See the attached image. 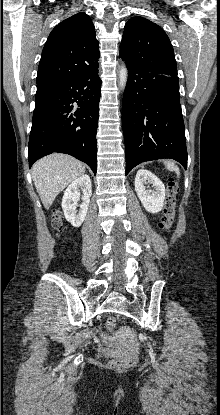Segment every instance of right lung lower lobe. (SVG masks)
I'll use <instances>...</instances> for the list:
<instances>
[{
	"label": "right lung lower lobe",
	"instance_id": "obj_1",
	"mask_svg": "<svg viewBox=\"0 0 220 415\" xmlns=\"http://www.w3.org/2000/svg\"><path fill=\"white\" fill-rule=\"evenodd\" d=\"M100 96L98 68L37 95L28 145L29 167L45 155L60 152L85 162L96 174Z\"/></svg>",
	"mask_w": 220,
	"mask_h": 415
}]
</instances>
